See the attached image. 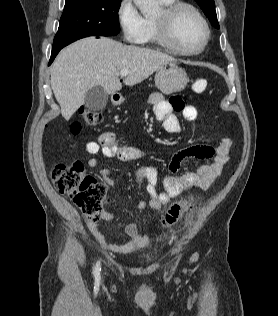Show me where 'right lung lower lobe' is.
<instances>
[{"label": "right lung lower lobe", "mask_w": 278, "mask_h": 316, "mask_svg": "<svg viewBox=\"0 0 278 316\" xmlns=\"http://www.w3.org/2000/svg\"><path fill=\"white\" fill-rule=\"evenodd\" d=\"M61 49H62V48L52 50L51 58H50V61H49V65L53 62L54 58L56 57V55L58 54V52H59Z\"/></svg>", "instance_id": "right-lung-lower-lobe-1"}]
</instances>
